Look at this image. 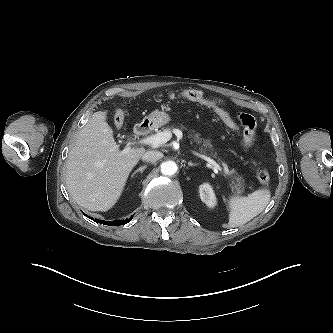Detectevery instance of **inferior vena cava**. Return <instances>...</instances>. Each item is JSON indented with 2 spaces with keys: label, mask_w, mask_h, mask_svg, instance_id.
Wrapping results in <instances>:
<instances>
[{
  "label": "inferior vena cava",
  "mask_w": 333,
  "mask_h": 333,
  "mask_svg": "<svg viewBox=\"0 0 333 333\" xmlns=\"http://www.w3.org/2000/svg\"><path fill=\"white\" fill-rule=\"evenodd\" d=\"M163 157V154L159 151H147L142 155V160L150 163H155Z\"/></svg>",
  "instance_id": "1"
}]
</instances>
